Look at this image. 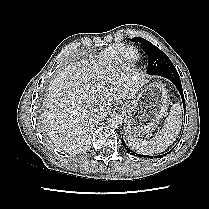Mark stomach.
I'll list each match as a JSON object with an SVG mask.
<instances>
[{"mask_svg": "<svg viewBox=\"0 0 209 209\" xmlns=\"http://www.w3.org/2000/svg\"><path fill=\"white\" fill-rule=\"evenodd\" d=\"M168 105L169 98L164 84L153 82L140 88L134 100L120 106L125 114V132L132 136L151 133L166 114Z\"/></svg>", "mask_w": 209, "mask_h": 209, "instance_id": "1", "label": "stomach"}]
</instances>
